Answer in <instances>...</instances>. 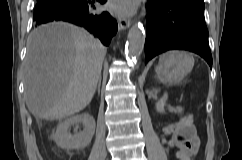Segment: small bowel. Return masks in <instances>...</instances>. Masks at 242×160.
Wrapping results in <instances>:
<instances>
[{"instance_id": "1", "label": "small bowel", "mask_w": 242, "mask_h": 160, "mask_svg": "<svg viewBox=\"0 0 242 160\" xmlns=\"http://www.w3.org/2000/svg\"><path fill=\"white\" fill-rule=\"evenodd\" d=\"M167 131L173 133L171 145L176 150L178 160H191V155L199 151L200 138L191 116L182 117L177 123L167 127Z\"/></svg>"}]
</instances>
